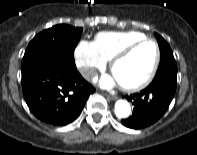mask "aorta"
Masks as SVG:
<instances>
[{
  "mask_svg": "<svg viewBox=\"0 0 197 155\" xmlns=\"http://www.w3.org/2000/svg\"><path fill=\"white\" fill-rule=\"evenodd\" d=\"M131 107L126 100H118L115 103V114L118 118H126L130 115Z\"/></svg>",
  "mask_w": 197,
  "mask_h": 155,
  "instance_id": "1",
  "label": "aorta"
}]
</instances>
